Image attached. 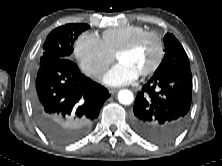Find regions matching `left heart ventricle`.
I'll use <instances>...</instances> for the list:
<instances>
[{
  "mask_svg": "<svg viewBox=\"0 0 222 166\" xmlns=\"http://www.w3.org/2000/svg\"><path fill=\"white\" fill-rule=\"evenodd\" d=\"M156 56L157 42L153 38H147L132 52L120 55L118 60L141 74L151 67Z\"/></svg>",
  "mask_w": 222,
  "mask_h": 166,
  "instance_id": "left-heart-ventricle-1",
  "label": "left heart ventricle"
}]
</instances>
